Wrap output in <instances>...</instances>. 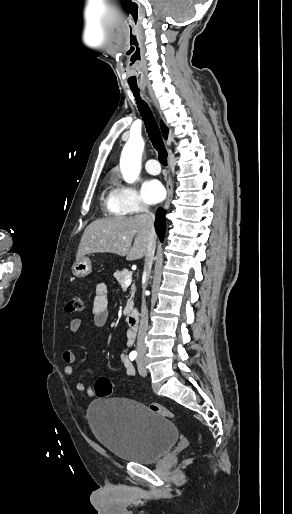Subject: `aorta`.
Segmentation results:
<instances>
[{
	"mask_svg": "<svg viewBox=\"0 0 292 514\" xmlns=\"http://www.w3.org/2000/svg\"><path fill=\"white\" fill-rule=\"evenodd\" d=\"M144 144L142 138H129L120 158L121 174L127 184L136 182L141 170V156Z\"/></svg>",
	"mask_w": 292,
	"mask_h": 514,
	"instance_id": "1",
	"label": "aorta"
}]
</instances>
